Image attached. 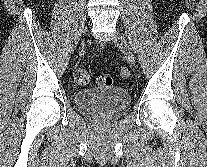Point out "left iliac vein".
Masks as SVG:
<instances>
[{"instance_id": "left-iliac-vein-1", "label": "left iliac vein", "mask_w": 207, "mask_h": 167, "mask_svg": "<svg viewBox=\"0 0 207 167\" xmlns=\"http://www.w3.org/2000/svg\"><path fill=\"white\" fill-rule=\"evenodd\" d=\"M113 41L120 48V50L123 52V54L125 55L128 62L134 65L135 64L134 55H133L131 48L129 47L126 39L124 38V36L117 32L114 35Z\"/></svg>"}]
</instances>
